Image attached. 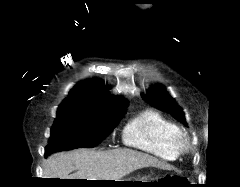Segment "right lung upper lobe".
<instances>
[{"mask_svg": "<svg viewBox=\"0 0 240 187\" xmlns=\"http://www.w3.org/2000/svg\"><path fill=\"white\" fill-rule=\"evenodd\" d=\"M108 90V89H107ZM127 101L110 95L103 82L85 80L73 88L58 109H72L89 112H115L126 109Z\"/></svg>", "mask_w": 240, "mask_h": 187, "instance_id": "1", "label": "right lung upper lobe"}]
</instances>
